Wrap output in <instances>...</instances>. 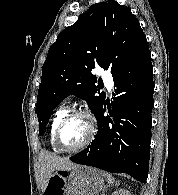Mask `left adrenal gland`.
Masks as SVG:
<instances>
[{"mask_svg": "<svg viewBox=\"0 0 178 195\" xmlns=\"http://www.w3.org/2000/svg\"><path fill=\"white\" fill-rule=\"evenodd\" d=\"M108 188V186L106 187V189ZM104 192H105V190L103 191V194L102 195H104Z\"/></svg>", "mask_w": 178, "mask_h": 195, "instance_id": "left-adrenal-gland-1", "label": "left adrenal gland"}]
</instances>
